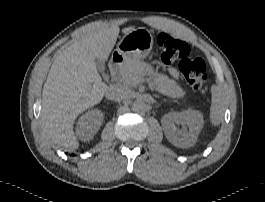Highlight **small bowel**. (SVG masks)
Returning a JSON list of instances; mask_svg holds the SVG:
<instances>
[{
	"instance_id": "c3829d8e",
	"label": "small bowel",
	"mask_w": 265,
	"mask_h": 202,
	"mask_svg": "<svg viewBox=\"0 0 265 202\" xmlns=\"http://www.w3.org/2000/svg\"><path fill=\"white\" fill-rule=\"evenodd\" d=\"M168 73L172 78H178L179 77V72L177 71V69L170 67L168 68Z\"/></svg>"
}]
</instances>
